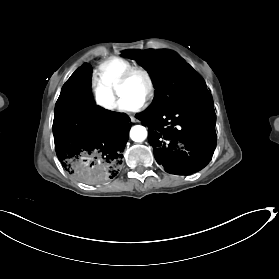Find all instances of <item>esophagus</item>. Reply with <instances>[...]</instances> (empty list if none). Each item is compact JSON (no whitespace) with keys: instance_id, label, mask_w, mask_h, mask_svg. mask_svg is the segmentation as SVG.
<instances>
[{"instance_id":"34e87169","label":"esophagus","mask_w":279,"mask_h":279,"mask_svg":"<svg viewBox=\"0 0 279 279\" xmlns=\"http://www.w3.org/2000/svg\"><path fill=\"white\" fill-rule=\"evenodd\" d=\"M130 118H131L132 122H134V123L138 122L134 116H130Z\"/></svg>"}]
</instances>
